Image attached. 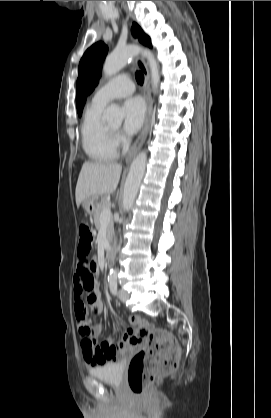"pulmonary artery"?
Here are the masks:
<instances>
[{
  "label": "pulmonary artery",
  "mask_w": 271,
  "mask_h": 418,
  "mask_svg": "<svg viewBox=\"0 0 271 418\" xmlns=\"http://www.w3.org/2000/svg\"><path fill=\"white\" fill-rule=\"evenodd\" d=\"M135 86L131 78L123 73L102 85L94 94L92 101L106 105L108 102L131 95Z\"/></svg>",
  "instance_id": "e3ab8cb5"
}]
</instances>
